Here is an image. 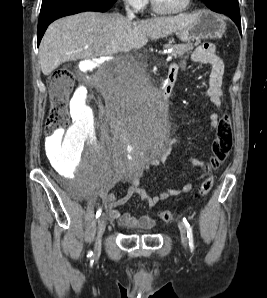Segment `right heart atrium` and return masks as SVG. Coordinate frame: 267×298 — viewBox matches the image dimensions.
Returning a JSON list of instances; mask_svg holds the SVG:
<instances>
[{"label":"right heart atrium","instance_id":"obj_1","mask_svg":"<svg viewBox=\"0 0 267 298\" xmlns=\"http://www.w3.org/2000/svg\"><path fill=\"white\" fill-rule=\"evenodd\" d=\"M124 2L136 12L144 10L148 5V0H124Z\"/></svg>","mask_w":267,"mask_h":298}]
</instances>
